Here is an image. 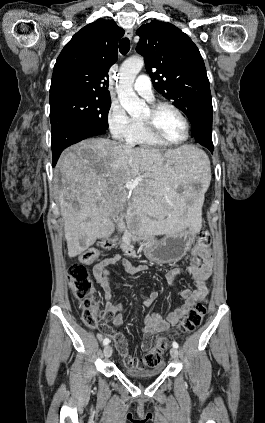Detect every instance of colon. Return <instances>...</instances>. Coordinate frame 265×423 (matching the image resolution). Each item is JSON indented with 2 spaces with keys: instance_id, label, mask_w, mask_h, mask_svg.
<instances>
[{
  "instance_id": "5ec220e1",
  "label": "colon",
  "mask_w": 265,
  "mask_h": 423,
  "mask_svg": "<svg viewBox=\"0 0 265 423\" xmlns=\"http://www.w3.org/2000/svg\"><path fill=\"white\" fill-rule=\"evenodd\" d=\"M208 241V234L201 233L194 250L197 252L203 250L207 247ZM114 242L115 240H104L100 242L98 246L87 250L79 261L71 263L68 267V279L71 290L83 305L82 318L84 323L90 328L100 329L103 332H109L111 329L108 324L110 314L101 308L95 298L87 265L91 264L100 255L101 250L111 248ZM207 292L208 289H206L205 293L199 295L197 303L194 304L177 328L172 331V335L187 334L200 326L206 313L205 302L207 300ZM167 347L168 340L164 337L158 338L156 346L148 351L145 358L137 364V367H158L162 362V354Z\"/></svg>"
}]
</instances>
